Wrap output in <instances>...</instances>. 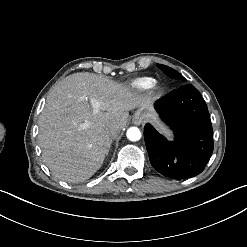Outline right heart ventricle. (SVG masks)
Here are the masks:
<instances>
[{"instance_id":"e07e8e85","label":"right heart ventricle","mask_w":247,"mask_h":247,"mask_svg":"<svg viewBox=\"0 0 247 247\" xmlns=\"http://www.w3.org/2000/svg\"><path fill=\"white\" fill-rule=\"evenodd\" d=\"M156 84V79L152 77H141L133 80L131 86L138 91H145Z\"/></svg>"}]
</instances>
